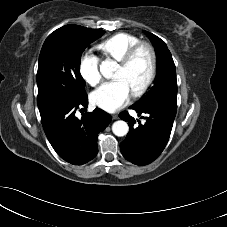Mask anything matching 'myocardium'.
<instances>
[{"label":"myocardium","instance_id":"f54148a6","mask_svg":"<svg viewBox=\"0 0 227 227\" xmlns=\"http://www.w3.org/2000/svg\"><path fill=\"white\" fill-rule=\"evenodd\" d=\"M142 50H145L149 56V73L144 80V82L134 91L132 92V96L134 98H138L142 96L148 88L153 83L156 74H157V55L154 47L148 42H138L134 46H132L124 55V57L119 61V66L123 69L129 67L134 61L135 57Z\"/></svg>","mask_w":227,"mask_h":227}]
</instances>
